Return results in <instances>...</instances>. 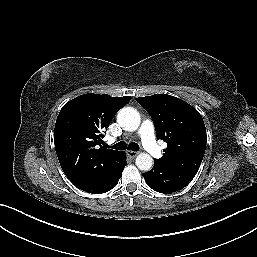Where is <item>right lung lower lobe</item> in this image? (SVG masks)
I'll list each match as a JSON object with an SVG mask.
<instances>
[{
	"label": "right lung lower lobe",
	"instance_id": "98d812e1",
	"mask_svg": "<svg viewBox=\"0 0 257 257\" xmlns=\"http://www.w3.org/2000/svg\"><path fill=\"white\" fill-rule=\"evenodd\" d=\"M125 165L126 157L123 152H120L118 161L116 162L115 166L103 177L91 182L75 184V186L88 193H105L117 185L118 180L122 176V171Z\"/></svg>",
	"mask_w": 257,
	"mask_h": 257
}]
</instances>
